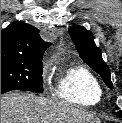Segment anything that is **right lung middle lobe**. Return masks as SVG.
<instances>
[{
    "instance_id": "1",
    "label": "right lung middle lobe",
    "mask_w": 122,
    "mask_h": 123,
    "mask_svg": "<svg viewBox=\"0 0 122 123\" xmlns=\"http://www.w3.org/2000/svg\"><path fill=\"white\" fill-rule=\"evenodd\" d=\"M42 58L1 56V90L43 92Z\"/></svg>"
}]
</instances>
